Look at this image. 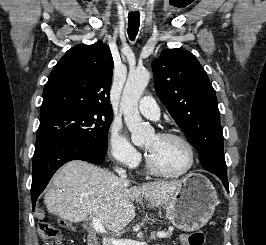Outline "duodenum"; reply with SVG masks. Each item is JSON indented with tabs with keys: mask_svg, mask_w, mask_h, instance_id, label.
Instances as JSON below:
<instances>
[{
	"mask_svg": "<svg viewBox=\"0 0 266 245\" xmlns=\"http://www.w3.org/2000/svg\"><path fill=\"white\" fill-rule=\"evenodd\" d=\"M88 245H99V243H98L97 239L93 237L89 240Z\"/></svg>",
	"mask_w": 266,
	"mask_h": 245,
	"instance_id": "410a0bca",
	"label": "duodenum"
}]
</instances>
